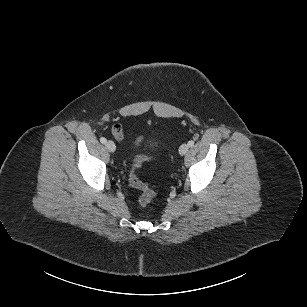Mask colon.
Listing matches in <instances>:
<instances>
[{
    "label": "colon",
    "instance_id": "5ec220e1",
    "mask_svg": "<svg viewBox=\"0 0 307 307\" xmlns=\"http://www.w3.org/2000/svg\"><path fill=\"white\" fill-rule=\"evenodd\" d=\"M146 157H139L133 161L129 171V182L130 184L141 191L138 197V203L140 206L148 205L155 197L154 190L149 187L146 183L141 181L137 176V169Z\"/></svg>",
    "mask_w": 307,
    "mask_h": 307
}]
</instances>
